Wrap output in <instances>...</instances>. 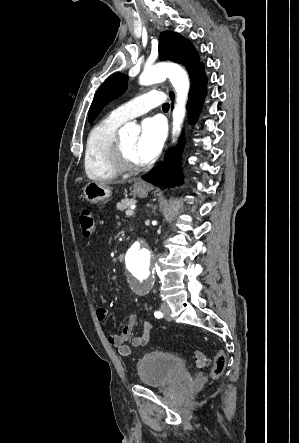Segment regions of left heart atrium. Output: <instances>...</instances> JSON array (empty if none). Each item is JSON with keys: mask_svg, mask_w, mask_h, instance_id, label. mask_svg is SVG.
Listing matches in <instances>:
<instances>
[{"mask_svg": "<svg viewBox=\"0 0 299 443\" xmlns=\"http://www.w3.org/2000/svg\"><path fill=\"white\" fill-rule=\"evenodd\" d=\"M165 136V127L158 116L144 119L141 125L136 154L141 164L152 162L159 154Z\"/></svg>", "mask_w": 299, "mask_h": 443, "instance_id": "left-heart-atrium-1", "label": "left heart atrium"}]
</instances>
